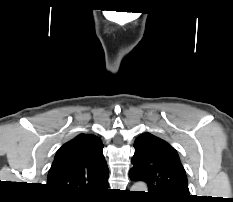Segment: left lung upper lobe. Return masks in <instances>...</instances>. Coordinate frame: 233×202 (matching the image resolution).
<instances>
[{
    "instance_id": "left-lung-upper-lobe-1",
    "label": "left lung upper lobe",
    "mask_w": 233,
    "mask_h": 202,
    "mask_svg": "<svg viewBox=\"0 0 233 202\" xmlns=\"http://www.w3.org/2000/svg\"><path fill=\"white\" fill-rule=\"evenodd\" d=\"M134 147L130 178L145 181L153 201L186 202L190 198L185 170L170 144L143 133L135 140Z\"/></svg>"
}]
</instances>
